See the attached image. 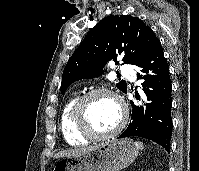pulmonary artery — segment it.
Here are the masks:
<instances>
[{"label": "pulmonary artery", "instance_id": "pulmonary-artery-1", "mask_svg": "<svg viewBox=\"0 0 199 171\" xmlns=\"http://www.w3.org/2000/svg\"><path fill=\"white\" fill-rule=\"evenodd\" d=\"M119 71L124 76H127L130 79H132V80L135 79V75H134L133 71L131 70L130 66H128V65H122V66L119 67Z\"/></svg>", "mask_w": 199, "mask_h": 171}]
</instances>
